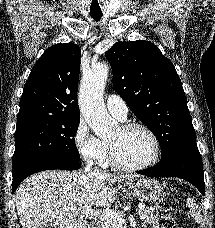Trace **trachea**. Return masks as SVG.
Here are the masks:
<instances>
[{"label": "trachea", "mask_w": 215, "mask_h": 228, "mask_svg": "<svg viewBox=\"0 0 215 228\" xmlns=\"http://www.w3.org/2000/svg\"><path fill=\"white\" fill-rule=\"evenodd\" d=\"M91 18L98 22L102 18V14H90Z\"/></svg>", "instance_id": "3493384b"}]
</instances>
